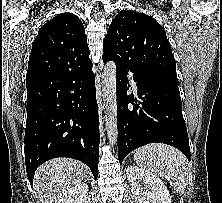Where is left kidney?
Masks as SVG:
<instances>
[{
  "label": "left kidney",
  "instance_id": "left-kidney-1",
  "mask_svg": "<svg viewBox=\"0 0 222 203\" xmlns=\"http://www.w3.org/2000/svg\"><path fill=\"white\" fill-rule=\"evenodd\" d=\"M126 175L136 203H171L165 183L150 171L131 165Z\"/></svg>",
  "mask_w": 222,
  "mask_h": 203
}]
</instances>
